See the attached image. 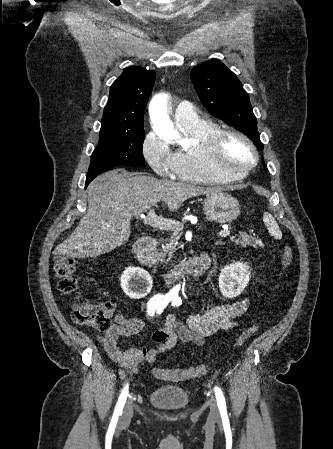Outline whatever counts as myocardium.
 I'll use <instances>...</instances> for the list:
<instances>
[{
  "mask_svg": "<svg viewBox=\"0 0 333 449\" xmlns=\"http://www.w3.org/2000/svg\"><path fill=\"white\" fill-rule=\"evenodd\" d=\"M230 140L243 143L252 154V160L239 170L229 169L222 165L225 146ZM203 150L211 172L231 181L244 179L259 162V153L252 140L237 130L219 129L204 141Z\"/></svg>",
  "mask_w": 333,
  "mask_h": 449,
  "instance_id": "f54148a6",
  "label": "myocardium"
}]
</instances>
